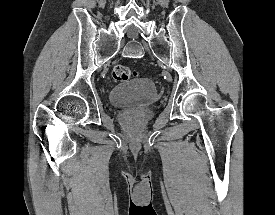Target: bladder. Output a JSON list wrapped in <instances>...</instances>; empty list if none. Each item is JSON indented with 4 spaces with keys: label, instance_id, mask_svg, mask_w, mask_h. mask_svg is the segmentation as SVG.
Wrapping results in <instances>:
<instances>
[{
    "label": "bladder",
    "instance_id": "obj_1",
    "mask_svg": "<svg viewBox=\"0 0 275 215\" xmlns=\"http://www.w3.org/2000/svg\"><path fill=\"white\" fill-rule=\"evenodd\" d=\"M108 99L113 106L119 108L145 107L156 101V86L148 78L133 79L113 86Z\"/></svg>",
    "mask_w": 275,
    "mask_h": 215
}]
</instances>
